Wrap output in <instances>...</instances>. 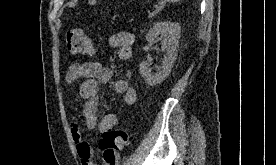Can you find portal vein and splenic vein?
I'll list each match as a JSON object with an SVG mask.
<instances>
[{
    "label": "portal vein and splenic vein",
    "mask_w": 276,
    "mask_h": 165,
    "mask_svg": "<svg viewBox=\"0 0 276 165\" xmlns=\"http://www.w3.org/2000/svg\"><path fill=\"white\" fill-rule=\"evenodd\" d=\"M160 9V7L159 6H156V10L154 11V12H152V13H150L149 14V17H153L156 13H157V11Z\"/></svg>",
    "instance_id": "obj_1"
}]
</instances>
